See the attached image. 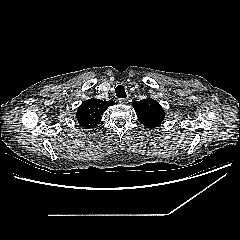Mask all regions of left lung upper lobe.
<instances>
[{
    "label": "left lung upper lobe",
    "instance_id": "1",
    "mask_svg": "<svg viewBox=\"0 0 240 240\" xmlns=\"http://www.w3.org/2000/svg\"><path fill=\"white\" fill-rule=\"evenodd\" d=\"M133 107L139 121L147 128L159 126L165 117L163 108L152 98L135 101Z\"/></svg>",
    "mask_w": 240,
    "mask_h": 240
}]
</instances>
